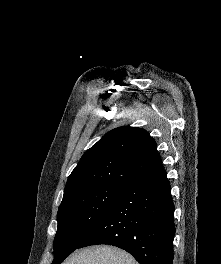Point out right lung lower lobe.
I'll use <instances>...</instances> for the list:
<instances>
[{"mask_svg":"<svg viewBox=\"0 0 221 264\" xmlns=\"http://www.w3.org/2000/svg\"><path fill=\"white\" fill-rule=\"evenodd\" d=\"M174 204L166 171L129 182L108 214L80 244H108L132 254L140 264H173Z\"/></svg>","mask_w":221,"mask_h":264,"instance_id":"1","label":"right lung lower lobe"}]
</instances>
